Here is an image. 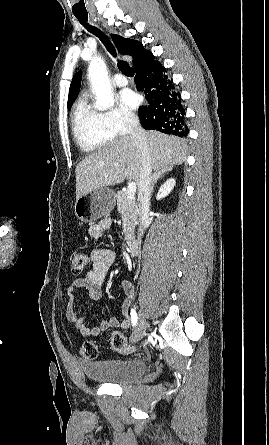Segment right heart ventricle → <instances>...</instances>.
I'll use <instances>...</instances> for the list:
<instances>
[{"label": "right heart ventricle", "instance_id": "1", "mask_svg": "<svg viewBox=\"0 0 269 445\" xmlns=\"http://www.w3.org/2000/svg\"><path fill=\"white\" fill-rule=\"evenodd\" d=\"M72 131L77 145L84 152L99 150L115 138L106 125L103 114L95 110L84 96L74 106Z\"/></svg>", "mask_w": 269, "mask_h": 445}]
</instances>
